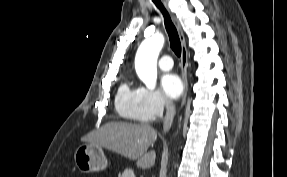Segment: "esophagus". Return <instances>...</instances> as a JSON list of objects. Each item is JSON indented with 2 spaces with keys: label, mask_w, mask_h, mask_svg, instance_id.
<instances>
[{
  "label": "esophagus",
  "mask_w": 287,
  "mask_h": 177,
  "mask_svg": "<svg viewBox=\"0 0 287 177\" xmlns=\"http://www.w3.org/2000/svg\"><path fill=\"white\" fill-rule=\"evenodd\" d=\"M163 4H164L165 9L167 10V12L169 13L171 17L173 24L175 25L178 31L179 38L181 41V48H182L181 49V70H182V80L184 83V96H183V100L181 103V108H183L186 102V97H187V92H188V78H187L188 52H187V47H186V41H185V37H184L179 21L177 20L175 15L172 14L171 11L168 9L166 1H163Z\"/></svg>",
  "instance_id": "1"
}]
</instances>
